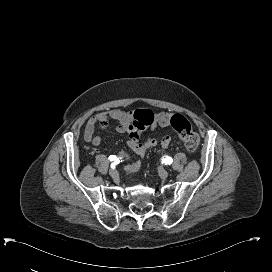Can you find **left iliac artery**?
Segmentation results:
<instances>
[{
    "instance_id": "left-iliac-artery-1",
    "label": "left iliac artery",
    "mask_w": 272,
    "mask_h": 272,
    "mask_svg": "<svg viewBox=\"0 0 272 272\" xmlns=\"http://www.w3.org/2000/svg\"><path fill=\"white\" fill-rule=\"evenodd\" d=\"M163 163H165L166 165H170L173 160L171 157H166L165 159L162 160Z\"/></svg>"
}]
</instances>
